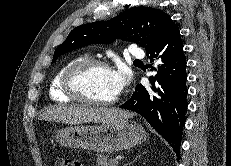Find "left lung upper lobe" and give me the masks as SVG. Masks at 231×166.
Returning a JSON list of instances; mask_svg holds the SVG:
<instances>
[{
  "mask_svg": "<svg viewBox=\"0 0 231 166\" xmlns=\"http://www.w3.org/2000/svg\"><path fill=\"white\" fill-rule=\"evenodd\" d=\"M176 26L170 16L151 7H134L106 20L88 23L74 28L59 45L53 56L54 63L59 56L89 44H109L120 38L139 43L146 53L156 46Z\"/></svg>",
  "mask_w": 231,
  "mask_h": 166,
  "instance_id": "5c2ea615",
  "label": "left lung upper lobe"
}]
</instances>
